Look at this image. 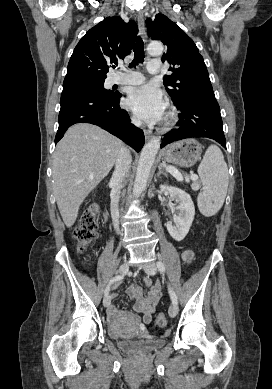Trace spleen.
Returning a JSON list of instances; mask_svg holds the SVG:
<instances>
[{"mask_svg": "<svg viewBox=\"0 0 272 389\" xmlns=\"http://www.w3.org/2000/svg\"><path fill=\"white\" fill-rule=\"evenodd\" d=\"M203 188L197 197L199 211L206 217L222 207L228 189L229 175L222 151L210 145L198 167Z\"/></svg>", "mask_w": 272, "mask_h": 389, "instance_id": "obj_1", "label": "spleen"}]
</instances>
